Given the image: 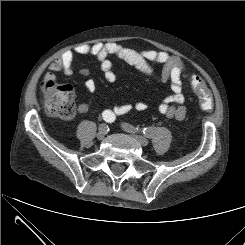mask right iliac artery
I'll return each mask as SVG.
<instances>
[{"mask_svg": "<svg viewBox=\"0 0 245 245\" xmlns=\"http://www.w3.org/2000/svg\"><path fill=\"white\" fill-rule=\"evenodd\" d=\"M107 112V111H105ZM105 112H103L102 116H103V119L106 121V122H113V120L110 118V115H107ZM100 126H102V129L105 133H107L109 131V128L107 125L105 124H101Z\"/></svg>", "mask_w": 245, "mask_h": 245, "instance_id": "obj_1", "label": "right iliac artery"}]
</instances>
